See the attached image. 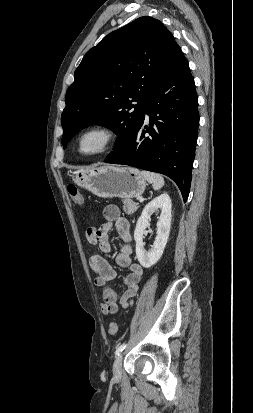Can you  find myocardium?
Returning a JSON list of instances; mask_svg holds the SVG:
<instances>
[{"label":"myocardium","instance_id":"1","mask_svg":"<svg viewBox=\"0 0 253 413\" xmlns=\"http://www.w3.org/2000/svg\"><path fill=\"white\" fill-rule=\"evenodd\" d=\"M90 133L101 134L103 136V142H102V145L97 150L93 152H84L81 149V141L86 135ZM118 140H119V135L117 131L111 126L102 124V123L92 124L84 128L83 130H81L79 134L77 135L76 149H77V152L83 156H88V157L97 156V155H101L113 149L118 143Z\"/></svg>","mask_w":253,"mask_h":413}]
</instances>
